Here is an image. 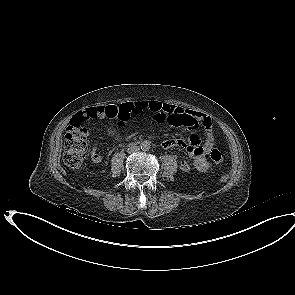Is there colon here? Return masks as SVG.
Here are the masks:
<instances>
[{"instance_id":"obj_1","label":"colon","mask_w":295,"mask_h":295,"mask_svg":"<svg viewBox=\"0 0 295 295\" xmlns=\"http://www.w3.org/2000/svg\"><path fill=\"white\" fill-rule=\"evenodd\" d=\"M134 115L129 105L105 106L104 116L119 126H124ZM87 151V130L82 124L70 123L64 140L63 160L65 164L73 169H81ZM210 158L214 164H221L224 161L222 153L213 148L210 151Z\"/></svg>"}]
</instances>
